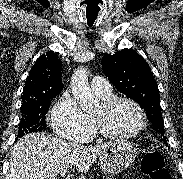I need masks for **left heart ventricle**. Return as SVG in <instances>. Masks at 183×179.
Segmentation results:
<instances>
[{"mask_svg":"<svg viewBox=\"0 0 183 179\" xmlns=\"http://www.w3.org/2000/svg\"><path fill=\"white\" fill-rule=\"evenodd\" d=\"M94 116L98 117L107 129L115 133L133 132L141 122L138 111L127 102L117 104L108 112L100 106Z\"/></svg>","mask_w":183,"mask_h":179,"instance_id":"left-heart-ventricle-1","label":"left heart ventricle"}]
</instances>
